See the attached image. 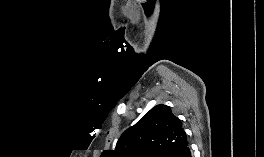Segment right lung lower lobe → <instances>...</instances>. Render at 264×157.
<instances>
[{
	"mask_svg": "<svg viewBox=\"0 0 264 157\" xmlns=\"http://www.w3.org/2000/svg\"><path fill=\"white\" fill-rule=\"evenodd\" d=\"M177 157H192L190 148L187 146L177 155Z\"/></svg>",
	"mask_w": 264,
	"mask_h": 157,
	"instance_id": "1",
	"label": "right lung lower lobe"
}]
</instances>
